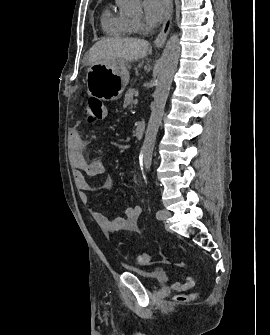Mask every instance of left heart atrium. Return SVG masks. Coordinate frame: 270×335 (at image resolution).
<instances>
[{"label":"left heart atrium","instance_id":"obj_1","mask_svg":"<svg viewBox=\"0 0 270 335\" xmlns=\"http://www.w3.org/2000/svg\"><path fill=\"white\" fill-rule=\"evenodd\" d=\"M145 20L150 26L151 33L158 29L170 12L168 0H144Z\"/></svg>","mask_w":270,"mask_h":335}]
</instances>
